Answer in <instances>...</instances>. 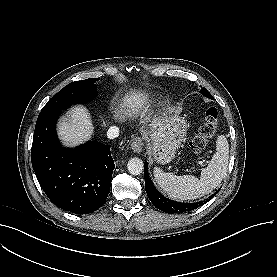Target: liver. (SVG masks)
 I'll use <instances>...</instances> for the list:
<instances>
[{"label": "liver", "instance_id": "obj_1", "mask_svg": "<svg viewBox=\"0 0 277 277\" xmlns=\"http://www.w3.org/2000/svg\"><path fill=\"white\" fill-rule=\"evenodd\" d=\"M141 101L140 94H131L124 99V104L135 109ZM57 130L63 144L73 147L89 140L94 132V127L87 109L83 106H76L68 112L66 117L60 119Z\"/></svg>", "mask_w": 277, "mask_h": 277}]
</instances>
